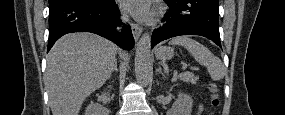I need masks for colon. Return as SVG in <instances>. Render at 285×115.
I'll return each mask as SVG.
<instances>
[{
	"label": "colon",
	"instance_id": "obj_1",
	"mask_svg": "<svg viewBox=\"0 0 285 115\" xmlns=\"http://www.w3.org/2000/svg\"><path fill=\"white\" fill-rule=\"evenodd\" d=\"M210 90L212 92L211 104L213 107H216L218 105V100H217V97L215 95V86L213 84H210Z\"/></svg>",
	"mask_w": 285,
	"mask_h": 115
}]
</instances>
